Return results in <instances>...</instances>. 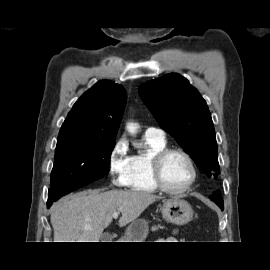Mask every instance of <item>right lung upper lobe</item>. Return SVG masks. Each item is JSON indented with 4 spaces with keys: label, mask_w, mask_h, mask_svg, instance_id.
<instances>
[{
    "label": "right lung upper lobe",
    "mask_w": 270,
    "mask_h": 270,
    "mask_svg": "<svg viewBox=\"0 0 270 270\" xmlns=\"http://www.w3.org/2000/svg\"><path fill=\"white\" fill-rule=\"evenodd\" d=\"M126 98L121 85L109 80L99 81L74 104L58 138L115 140Z\"/></svg>",
    "instance_id": "right-lung-upper-lobe-1"
}]
</instances>
